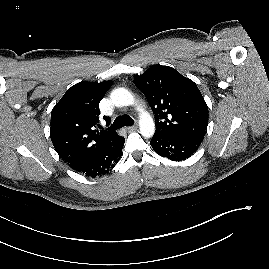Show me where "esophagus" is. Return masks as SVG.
<instances>
[{"label":"esophagus","mask_w":269,"mask_h":269,"mask_svg":"<svg viewBox=\"0 0 269 269\" xmlns=\"http://www.w3.org/2000/svg\"><path fill=\"white\" fill-rule=\"evenodd\" d=\"M137 128V124H135V125H133V126H128V127H126L125 129L127 130V131H133V130H135Z\"/></svg>","instance_id":"1"}]
</instances>
